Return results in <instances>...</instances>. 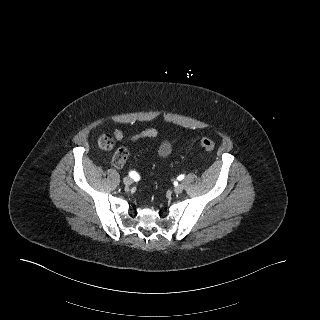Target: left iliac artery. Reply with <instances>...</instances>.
Instances as JSON below:
<instances>
[{"label": "left iliac artery", "instance_id": "left-iliac-artery-1", "mask_svg": "<svg viewBox=\"0 0 320 320\" xmlns=\"http://www.w3.org/2000/svg\"><path fill=\"white\" fill-rule=\"evenodd\" d=\"M184 178H185L184 174L178 176V180H183Z\"/></svg>", "mask_w": 320, "mask_h": 320}]
</instances>
